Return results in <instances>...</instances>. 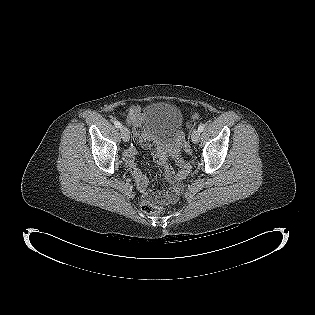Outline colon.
Wrapping results in <instances>:
<instances>
[{
    "label": "colon",
    "instance_id": "1",
    "mask_svg": "<svg viewBox=\"0 0 315 315\" xmlns=\"http://www.w3.org/2000/svg\"><path fill=\"white\" fill-rule=\"evenodd\" d=\"M197 118H198V113L197 112L193 113L187 126L191 128L193 125V121ZM177 164L179 166V171L176 174V177L174 178V180L176 181V185L172 187L166 194L162 195L160 198V202L158 203H154L150 200H145L141 204V209L146 214H153V215L161 214L164 211L163 203L165 201L175 200L178 197L179 192L182 188L181 181L187 175L189 171V165L182 157L178 158Z\"/></svg>",
    "mask_w": 315,
    "mask_h": 315
}]
</instances>
